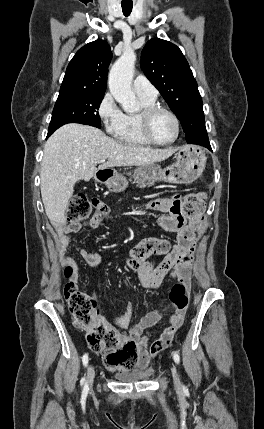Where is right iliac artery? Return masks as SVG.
I'll return each mask as SVG.
<instances>
[{"label":"right iliac artery","instance_id":"1","mask_svg":"<svg viewBox=\"0 0 264 429\" xmlns=\"http://www.w3.org/2000/svg\"><path fill=\"white\" fill-rule=\"evenodd\" d=\"M82 362H83V365L86 367V366H87V364H88V355H87V354H84V355H83V357H82ZM81 381L85 383V385H84V391H87V390H88V384H87V382H86L85 377H84V378H82V380H81Z\"/></svg>","mask_w":264,"mask_h":429}]
</instances>
